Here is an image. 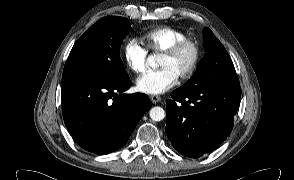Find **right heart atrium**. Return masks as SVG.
Wrapping results in <instances>:
<instances>
[{"mask_svg":"<svg viewBox=\"0 0 294 180\" xmlns=\"http://www.w3.org/2000/svg\"><path fill=\"white\" fill-rule=\"evenodd\" d=\"M127 67L134 73H142L146 68L147 51L134 38L129 39L121 52Z\"/></svg>","mask_w":294,"mask_h":180,"instance_id":"obj_1","label":"right heart atrium"}]
</instances>
